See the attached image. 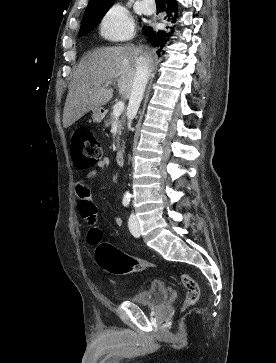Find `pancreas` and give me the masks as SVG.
<instances>
[{"instance_id": "cf45deb5", "label": "pancreas", "mask_w": 276, "mask_h": 363, "mask_svg": "<svg viewBox=\"0 0 276 363\" xmlns=\"http://www.w3.org/2000/svg\"><path fill=\"white\" fill-rule=\"evenodd\" d=\"M114 123H116L117 126V148H119L120 146V135L122 134L123 131V126L125 123L124 117H122L121 119H116V117L114 116L113 113L110 114L109 119L105 121V126H112Z\"/></svg>"}]
</instances>
